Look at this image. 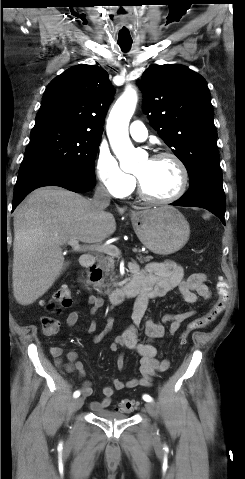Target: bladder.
Here are the masks:
<instances>
[{
	"label": "bladder",
	"instance_id": "bladder-1",
	"mask_svg": "<svg viewBox=\"0 0 245 479\" xmlns=\"http://www.w3.org/2000/svg\"><path fill=\"white\" fill-rule=\"evenodd\" d=\"M96 416L99 418L111 419V420H124L128 418V415L114 412V411H101V412H98Z\"/></svg>",
	"mask_w": 245,
	"mask_h": 479
}]
</instances>
